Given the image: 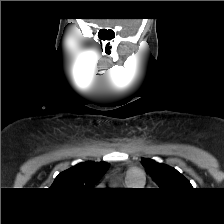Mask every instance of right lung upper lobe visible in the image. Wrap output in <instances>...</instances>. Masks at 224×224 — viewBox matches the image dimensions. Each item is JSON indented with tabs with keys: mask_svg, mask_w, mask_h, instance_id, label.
Returning a JSON list of instances; mask_svg holds the SVG:
<instances>
[{
	"mask_svg": "<svg viewBox=\"0 0 224 224\" xmlns=\"http://www.w3.org/2000/svg\"><path fill=\"white\" fill-rule=\"evenodd\" d=\"M106 171V162L79 163L61 172L51 187L65 191L93 189Z\"/></svg>",
	"mask_w": 224,
	"mask_h": 224,
	"instance_id": "1",
	"label": "right lung upper lobe"
}]
</instances>
